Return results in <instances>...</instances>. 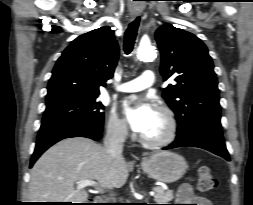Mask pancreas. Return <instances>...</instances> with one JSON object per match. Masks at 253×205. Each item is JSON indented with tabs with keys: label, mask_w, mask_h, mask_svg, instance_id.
<instances>
[{
	"label": "pancreas",
	"mask_w": 253,
	"mask_h": 205,
	"mask_svg": "<svg viewBox=\"0 0 253 205\" xmlns=\"http://www.w3.org/2000/svg\"><path fill=\"white\" fill-rule=\"evenodd\" d=\"M155 192L154 201L158 204H166L173 199V192L171 190L165 191L161 186L153 187Z\"/></svg>",
	"instance_id": "obj_1"
}]
</instances>
